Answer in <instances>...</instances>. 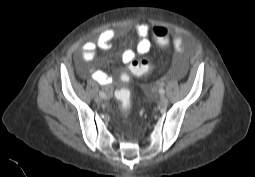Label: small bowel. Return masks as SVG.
<instances>
[{
	"label": "small bowel",
	"mask_w": 255,
	"mask_h": 177,
	"mask_svg": "<svg viewBox=\"0 0 255 177\" xmlns=\"http://www.w3.org/2000/svg\"><path fill=\"white\" fill-rule=\"evenodd\" d=\"M136 34L140 38L137 45V52L139 54H146L151 49V41L148 38L149 26L146 23H137L134 27ZM116 37V33L112 29H106L100 32L95 41L86 42L81 49V58L84 63H88L93 60L97 49L107 50L111 47L113 40ZM175 50L178 53L182 52V40L180 37H175L173 41ZM135 58V53L131 50H127L122 54V61L129 63ZM81 73L87 72L92 80L95 82L109 86L112 82V78L109 74L102 70L94 69L92 67L79 68ZM110 91V90H109Z\"/></svg>",
	"instance_id": "obj_1"
}]
</instances>
